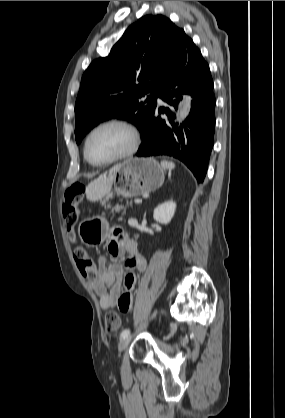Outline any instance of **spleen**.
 Listing matches in <instances>:
<instances>
[{"mask_svg": "<svg viewBox=\"0 0 285 418\" xmlns=\"http://www.w3.org/2000/svg\"><path fill=\"white\" fill-rule=\"evenodd\" d=\"M161 166L166 169V170H173L175 168V164L173 162H169V161H161Z\"/></svg>", "mask_w": 285, "mask_h": 418, "instance_id": "spleen-1", "label": "spleen"}]
</instances>
